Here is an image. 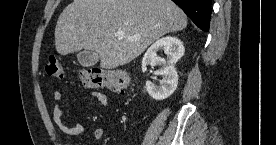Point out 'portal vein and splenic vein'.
Instances as JSON below:
<instances>
[{
  "instance_id": "portal-vein-and-splenic-vein-1",
  "label": "portal vein and splenic vein",
  "mask_w": 276,
  "mask_h": 145,
  "mask_svg": "<svg viewBox=\"0 0 276 145\" xmlns=\"http://www.w3.org/2000/svg\"><path fill=\"white\" fill-rule=\"evenodd\" d=\"M116 36L119 37V38H122V37H125V34H124L123 31L118 30V31L116 32ZM127 39H129V40H136V39H138V38H137V37L128 36Z\"/></svg>"
}]
</instances>
